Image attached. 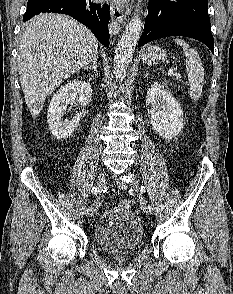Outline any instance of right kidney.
<instances>
[{"label":"right kidney","mask_w":233,"mask_h":294,"mask_svg":"<svg viewBox=\"0 0 233 294\" xmlns=\"http://www.w3.org/2000/svg\"><path fill=\"white\" fill-rule=\"evenodd\" d=\"M79 96L78 103L86 106L92 98V89L89 82L72 80L65 84L54 94L47 112V122L52 134L64 140L71 136L75 128L79 125L80 117L75 116L71 120L63 121L62 117L66 111V106Z\"/></svg>","instance_id":"obj_1"}]
</instances>
